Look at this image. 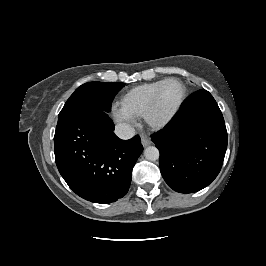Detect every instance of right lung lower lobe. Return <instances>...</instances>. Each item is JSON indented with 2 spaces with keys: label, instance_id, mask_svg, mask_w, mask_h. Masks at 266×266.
<instances>
[{
  "label": "right lung lower lobe",
  "instance_id": "obj_1",
  "mask_svg": "<svg viewBox=\"0 0 266 266\" xmlns=\"http://www.w3.org/2000/svg\"><path fill=\"white\" fill-rule=\"evenodd\" d=\"M114 128L107 112L86 107L55 131L57 168L68 186L85 200L111 203L129 189L143 146L139 136L119 139Z\"/></svg>",
  "mask_w": 266,
  "mask_h": 266
}]
</instances>
